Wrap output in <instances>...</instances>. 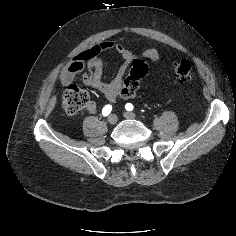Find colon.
Returning <instances> with one entry per match:
<instances>
[{
    "instance_id": "5ec220e1",
    "label": "colon",
    "mask_w": 236,
    "mask_h": 236,
    "mask_svg": "<svg viewBox=\"0 0 236 236\" xmlns=\"http://www.w3.org/2000/svg\"><path fill=\"white\" fill-rule=\"evenodd\" d=\"M172 69L180 82H187L192 77V64L188 59H181L172 63ZM148 73V64L142 59L131 62L129 75L123 82L121 93L138 90L141 80ZM137 92V91H136ZM89 102L88 93L75 84L69 85L63 94V108L69 115H75Z\"/></svg>"
}]
</instances>
